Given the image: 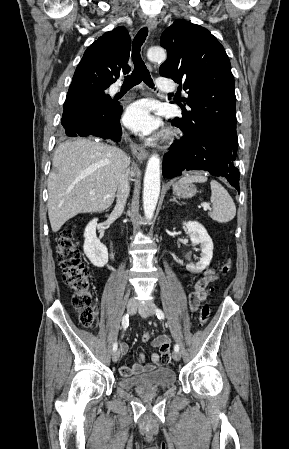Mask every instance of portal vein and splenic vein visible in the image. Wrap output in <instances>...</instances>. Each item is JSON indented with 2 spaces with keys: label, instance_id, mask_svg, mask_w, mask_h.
Listing matches in <instances>:
<instances>
[{
  "label": "portal vein and splenic vein",
  "instance_id": "1",
  "mask_svg": "<svg viewBox=\"0 0 289 449\" xmlns=\"http://www.w3.org/2000/svg\"><path fill=\"white\" fill-rule=\"evenodd\" d=\"M90 194L91 195H94L95 194V192L94 191H90ZM202 207L204 208V209H210V205H209V203H202Z\"/></svg>",
  "mask_w": 289,
  "mask_h": 449
}]
</instances>
